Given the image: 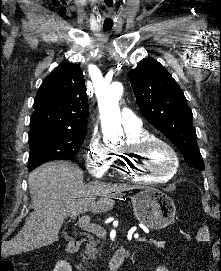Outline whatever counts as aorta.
<instances>
[{"instance_id":"762f6f07","label":"aorta","mask_w":221,"mask_h":271,"mask_svg":"<svg viewBox=\"0 0 221 271\" xmlns=\"http://www.w3.org/2000/svg\"><path fill=\"white\" fill-rule=\"evenodd\" d=\"M122 93V84L114 82L99 96V111L101 123L105 132H122L121 115L118 105Z\"/></svg>"}]
</instances>
